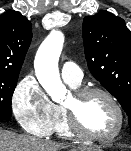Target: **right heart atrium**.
Here are the masks:
<instances>
[{
  "label": "right heart atrium",
  "instance_id": "d8ad5b80",
  "mask_svg": "<svg viewBox=\"0 0 131 151\" xmlns=\"http://www.w3.org/2000/svg\"><path fill=\"white\" fill-rule=\"evenodd\" d=\"M11 108L21 128L34 136L44 137L55 119V106L33 75H26L16 85Z\"/></svg>",
  "mask_w": 131,
  "mask_h": 151
}]
</instances>
